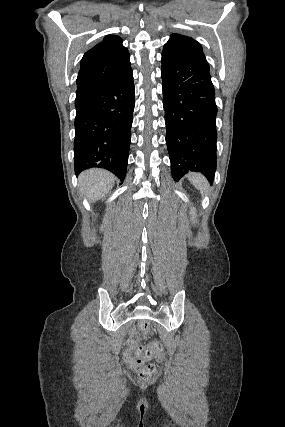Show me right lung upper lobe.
<instances>
[{
	"instance_id": "obj_1",
	"label": "right lung upper lobe",
	"mask_w": 285,
	"mask_h": 427,
	"mask_svg": "<svg viewBox=\"0 0 285 427\" xmlns=\"http://www.w3.org/2000/svg\"><path fill=\"white\" fill-rule=\"evenodd\" d=\"M130 55L118 36L108 35L86 52L80 62L77 91L116 81L128 75Z\"/></svg>"
}]
</instances>
